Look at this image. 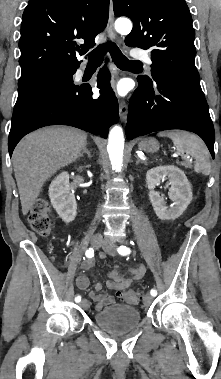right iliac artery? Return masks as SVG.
<instances>
[{
  "label": "right iliac artery",
  "instance_id": "82829eb1",
  "mask_svg": "<svg viewBox=\"0 0 221 379\" xmlns=\"http://www.w3.org/2000/svg\"><path fill=\"white\" fill-rule=\"evenodd\" d=\"M85 255L88 258H92L94 256V250L92 248H89L88 250H86ZM75 301L76 302H80L81 301V296H79V295L76 296L75 297Z\"/></svg>",
  "mask_w": 221,
  "mask_h": 379
}]
</instances>
